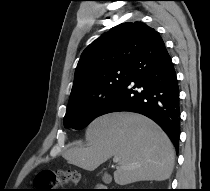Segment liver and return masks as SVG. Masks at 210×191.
I'll return each mask as SVG.
<instances>
[{
    "label": "liver",
    "mask_w": 210,
    "mask_h": 191,
    "mask_svg": "<svg viewBox=\"0 0 210 191\" xmlns=\"http://www.w3.org/2000/svg\"><path fill=\"white\" fill-rule=\"evenodd\" d=\"M86 147L69 148V164L95 170L112 156L119 158L115 183L163 181L170 177L175 159L168 136L152 120L130 112H116L95 119L86 130Z\"/></svg>",
    "instance_id": "1"
}]
</instances>
